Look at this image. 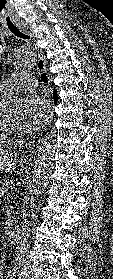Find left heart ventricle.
<instances>
[{
	"label": "left heart ventricle",
	"instance_id": "1",
	"mask_svg": "<svg viewBox=\"0 0 113 279\" xmlns=\"http://www.w3.org/2000/svg\"><path fill=\"white\" fill-rule=\"evenodd\" d=\"M8 120L14 127L20 128L22 122V109L20 107H11L9 109Z\"/></svg>",
	"mask_w": 113,
	"mask_h": 279
}]
</instances>
